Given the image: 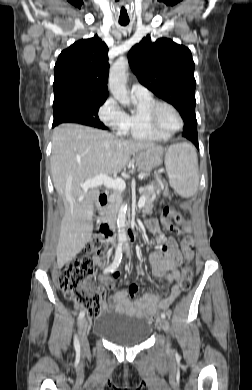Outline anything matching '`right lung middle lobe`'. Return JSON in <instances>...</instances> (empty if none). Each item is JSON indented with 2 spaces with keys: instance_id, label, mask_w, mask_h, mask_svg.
Here are the masks:
<instances>
[{
  "instance_id": "obj_1",
  "label": "right lung middle lobe",
  "mask_w": 252,
  "mask_h": 390,
  "mask_svg": "<svg viewBox=\"0 0 252 390\" xmlns=\"http://www.w3.org/2000/svg\"><path fill=\"white\" fill-rule=\"evenodd\" d=\"M105 100L65 99L53 103L54 121L52 127L66 122L80 123L100 129H107L99 120L98 110Z\"/></svg>"
}]
</instances>
